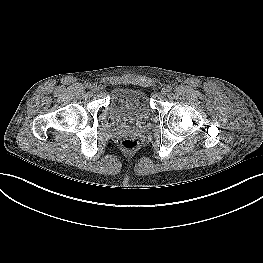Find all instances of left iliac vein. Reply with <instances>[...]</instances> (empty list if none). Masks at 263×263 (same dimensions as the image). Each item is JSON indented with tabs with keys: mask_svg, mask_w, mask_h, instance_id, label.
<instances>
[{
	"mask_svg": "<svg viewBox=\"0 0 263 263\" xmlns=\"http://www.w3.org/2000/svg\"><path fill=\"white\" fill-rule=\"evenodd\" d=\"M167 93H168L167 88H162L161 94H162V95H166Z\"/></svg>",
	"mask_w": 263,
	"mask_h": 263,
	"instance_id": "1",
	"label": "left iliac vein"
}]
</instances>
